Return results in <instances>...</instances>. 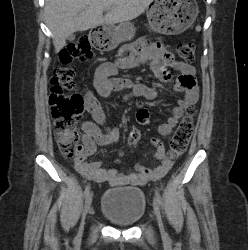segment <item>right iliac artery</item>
<instances>
[{
	"label": "right iliac artery",
	"instance_id": "obj_1",
	"mask_svg": "<svg viewBox=\"0 0 248 250\" xmlns=\"http://www.w3.org/2000/svg\"><path fill=\"white\" fill-rule=\"evenodd\" d=\"M89 191H90V185H87L85 190H84V195H83L84 198L87 197V195L89 194Z\"/></svg>",
	"mask_w": 248,
	"mask_h": 250
}]
</instances>
